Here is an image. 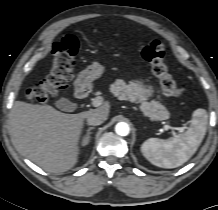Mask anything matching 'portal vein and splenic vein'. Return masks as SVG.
Here are the masks:
<instances>
[{"label": "portal vein and splenic vein", "mask_w": 218, "mask_h": 210, "mask_svg": "<svg viewBox=\"0 0 218 210\" xmlns=\"http://www.w3.org/2000/svg\"><path fill=\"white\" fill-rule=\"evenodd\" d=\"M103 101H104L103 97L98 96V97L93 99L92 105L94 107H98V106L103 104ZM164 129L165 130H171L172 132H175V131L182 132V131H184V128H182V127H174V126H170L168 124L164 125Z\"/></svg>", "instance_id": "portal-vein-and-splenic-vein-1"}]
</instances>
